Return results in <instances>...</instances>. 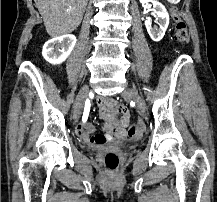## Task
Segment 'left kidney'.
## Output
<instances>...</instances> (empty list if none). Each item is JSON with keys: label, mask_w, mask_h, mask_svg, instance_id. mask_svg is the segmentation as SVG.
<instances>
[{"label": "left kidney", "mask_w": 217, "mask_h": 202, "mask_svg": "<svg viewBox=\"0 0 217 202\" xmlns=\"http://www.w3.org/2000/svg\"><path fill=\"white\" fill-rule=\"evenodd\" d=\"M140 2H143V0H140ZM153 14L157 16V20H159V28H152L150 18H146L145 26L151 40H153V42H160V40L164 38L165 32L169 26V14L165 6H162L159 2H153Z\"/></svg>", "instance_id": "obj_1"}]
</instances>
